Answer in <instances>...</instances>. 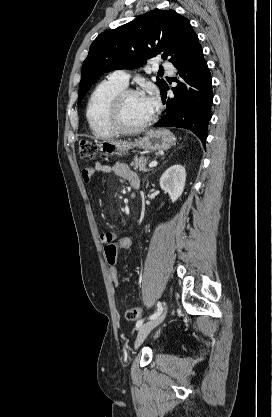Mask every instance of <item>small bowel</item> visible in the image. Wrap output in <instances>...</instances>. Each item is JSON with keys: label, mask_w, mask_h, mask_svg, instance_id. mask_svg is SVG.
Returning <instances> with one entry per match:
<instances>
[{"label": "small bowel", "mask_w": 272, "mask_h": 417, "mask_svg": "<svg viewBox=\"0 0 272 417\" xmlns=\"http://www.w3.org/2000/svg\"><path fill=\"white\" fill-rule=\"evenodd\" d=\"M99 172H113L115 175L127 180L130 184L134 181L139 182L136 173L128 165L121 162H118L113 166L104 163H96L94 166L87 167L82 170V178L85 182H89L91 178ZM116 237L117 235L113 232H103L100 235V239L104 244Z\"/></svg>", "instance_id": "1"}]
</instances>
